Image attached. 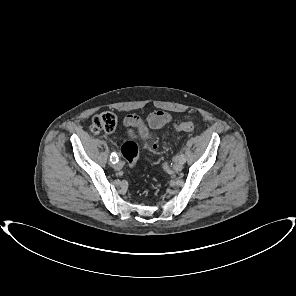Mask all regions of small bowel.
<instances>
[{"mask_svg": "<svg viewBox=\"0 0 296 296\" xmlns=\"http://www.w3.org/2000/svg\"><path fill=\"white\" fill-rule=\"evenodd\" d=\"M172 120L171 115L168 112L158 110L151 113L147 118V125L143 120L134 114L128 115L125 119V125L129 129L131 136H140L146 138L150 135L149 129L158 130L170 123Z\"/></svg>", "mask_w": 296, "mask_h": 296, "instance_id": "small-bowel-1", "label": "small bowel"}]
</instances>
